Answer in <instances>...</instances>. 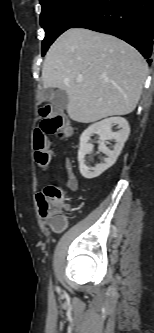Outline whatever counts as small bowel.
Wrapping results in <instances>:
<instances>
[{"label":"small bowel","mask_w":154,"mask_h":333,"mask_svg":"<svg viewBox=\"0 0 154 333\" xmlns=\"http://www.w3.org/2000/svg\"><path fill=\"white\" fill-rule=\"evenodd\" d=\"M66 168H67V172H68L67 185L71 190L75 191L77 189V179L73 173L69 160L66 161Z\"/></svg>","instance_id":"obj_1"}]
</instances>
